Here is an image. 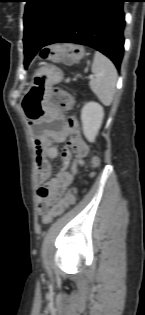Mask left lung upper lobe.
I'll return each instance as SVG.
<instances>
[{"mask_svg": "<svg viewBox=\"0 0 145 315\" xmlns=\"http://www.w3.org/2000/svg\"><path fill=\"white\" fill-rule=\"evenodd\" d=\"M74 0H26L24 35H36L42 42L56 29Z\"/></svg>", "mask_w": 145, "mask_h": 315, "instance_id": "5c2ea615", "label": "left lung upper lobe"}]
</instances>
